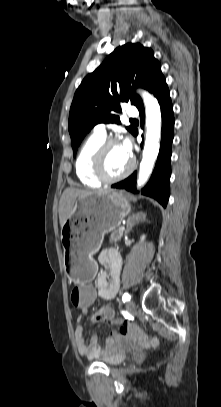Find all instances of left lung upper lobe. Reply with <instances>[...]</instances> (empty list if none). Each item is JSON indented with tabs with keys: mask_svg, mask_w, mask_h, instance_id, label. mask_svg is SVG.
Listing matches in <instances>:
<instances>
[{
	"mask_svg": "<svg viewBox=\"0 0 221 407\" xmlns=\"http://www.w3.org/2000/svg\"><path fill=\"white\" fill-rule=\"evenodd\" d=\"M164 78L161 65L150 48L127 43L116 48L104 62L88 74L75 92L69 114V133L74 155L85 135L98 123L120 124L116 113L121 112V102H131L138 109L142 99L133 86L143 87L153 93ZM132 134V126L127 127Z\"/></svg>",
	"mask_w": 221,
	"mask_h": 407,
	"instance_id": "obj_1",
	"label": "left lung upper lobe"
}]
</instances>
